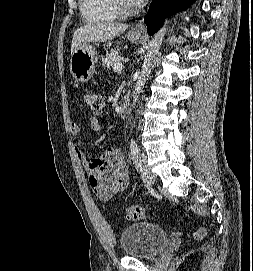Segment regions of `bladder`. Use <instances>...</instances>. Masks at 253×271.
Wrapping results in <instances>:
<instances>
[{
    "instance_id": "obj_1",
    "label": "bladder",
    "mask_w": 253,
    "mask_h": 271,
    "mask_svg": "<svg viewBox=\"0 0 253 271\" xmlns=\"http://www.w3.org/2000/svg\"><path fill=\"white\" fill-rule=\"evenodd\" d=\"M119 241L127 257L151 259L166 247L168 233L156 224L139 222L122 230Z\"/></svg>"
}]
</instances>
